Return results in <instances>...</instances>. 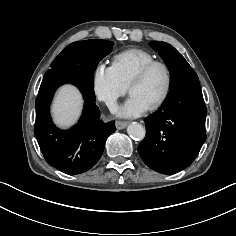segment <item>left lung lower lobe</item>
Listing matches in <instances>:
<instances>
[{
    "mask_svg": "<svg viewBox=\"0 0 236 236\" xmlns=\"http://www.w3.org/2000/svg\"><path fill=\"white\" fill-rule=\"evenodd\" d=\"M206 114L198 78L179 83L161 108L144 120L146 137L138 146L144 163L163 174L188 167L206 140Z\"/></svg>",
    "mask_w": 236,
    "mask_h": 236,
    "instance_id": "obj_1",
    "label": "left lung lower lobe"
}]
</instances>
